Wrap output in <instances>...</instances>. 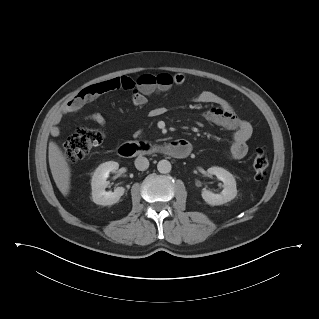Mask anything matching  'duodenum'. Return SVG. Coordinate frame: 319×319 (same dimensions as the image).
Here are the masks:
<instances>
[{"mask_svg":"<svg viewBox=\"0 0 319 319\" xmlns=\"http://www.w3.org/2000/svg\"><path fill=\"white\" fill-rule=\"evenodd\" d=\"M191 150L190 142L178 139L161 145H150L143 142L125 143L120 146L118 153L122 157L162 154L172 158L183 159L190 154Z\"/></svg>","mask_w":319,"mask_h":319,"instance_id":"1","label":"duodenum"}]
</instances>
